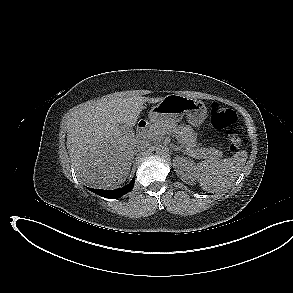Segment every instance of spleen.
I'll use <instances>...</instances> for the list:
<instances>
[{
    "label": "spleen",
    "instance_id": "obj_1",
    "mask_svg": "<svg viewBox=\"0 0 293 293\" xmlns=\"http://www.w3.org/2000/svg\"><path fill=\"white\" fill-rule=\"evenodd\" d=\"M247 159L246 151H239L232 157L200 162L194 171L203 190L218 192L232 185L240 174Z\"/></svg>",
    "mask_w": 293,
    "mask_h": 293
}]
</instances>
